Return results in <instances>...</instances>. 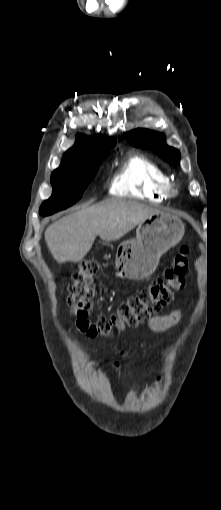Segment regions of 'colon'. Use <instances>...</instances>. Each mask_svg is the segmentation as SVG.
<instances>
[{
	"label": "colon",
	"mask_w": 221,
	"mask_h": 510,
	"mask_svg": "<svg viewBox=\"0 0 221 510\" xmlns=\"http://www.w3.org/2000/svg\"><path fill=\"white\" fill-rule=\"evenodd\" d=\"M189 269V249L183 246L173 258L163 277L154 279L150 285L131 296L115 313L89 320L94 295V279L100 270L95 259L82 261L73 275L68 300L70 313L79 332L89 338L107 337L115 331L134 328L158 314L173 299V291L184 287Z\"/></svg>",
	"instance_id": "1"
}]
</instances>
